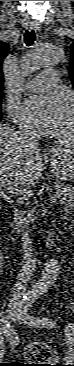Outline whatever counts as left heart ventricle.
Segmentation results:
<instances>
[{
	"mask_svg": "<svg viewBox=\"0 0 74 366\" xmlns=\"http://www.w3.org/2000/svg\"><path fill=\"white\" fill-rule=\"evenodd\" d=\"M72 115L70 110V105L67 102L63 103V110L60 118L52 130V132L59 134L61 136H67L72 129Z\"/></svg>",
	"mask_w": 74,
	"mask_h": 366,
	"instance_id": "b2bd125f",
	"label": "left heart ventricle"
}]
</instances>
